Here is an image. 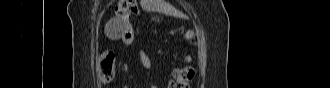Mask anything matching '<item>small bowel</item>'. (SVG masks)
<instances>
[{
  "instance_id": "c3829d8e",
  "label": "small bowel",
  "mask_w": 330,
  "mask_h": 88,
  "mask_svg": "<svg viewBox=\"0 0 330 88\" xmlns=\"http://www.w3.org/2000/svg\"><path fill=\"white\" fill-rule=\"evenodd\" d=\"M137 57L139 63L143 66L144 69L148 71L152 69L153 67L152 61L150 57L142 49L138 50Z\"/></svg>"
}]
</instances>
